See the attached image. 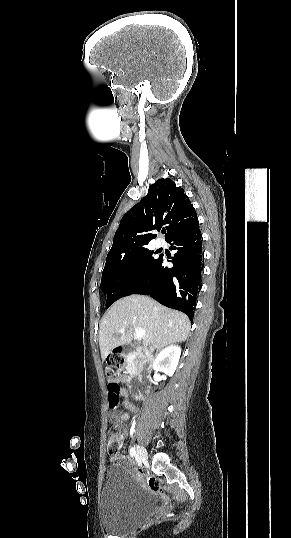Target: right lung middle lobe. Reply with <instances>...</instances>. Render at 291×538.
I'll list each match as a JSON object with an SVG mask.
<instances>
[{
	"instance_id": "1",
	"label": "right lung middle lobe",
	"mask_w": 291,
	"mask_h": 538,
	"mask_svg": "<svg viewBox=\"0 0 291 538\" xmlns=\"http://www.w3.org/2000/svg\"><path fill=\"white\" fill-rule=\"evenodd\" d=\"M147 248L106 259L101 288L107 294L106 308L131 295L146 280L159 260Z\"/></svg>"
}]
</instances>
